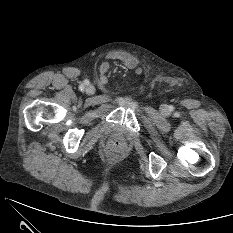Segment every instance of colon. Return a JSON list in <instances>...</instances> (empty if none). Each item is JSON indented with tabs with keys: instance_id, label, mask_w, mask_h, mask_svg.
<instances>
[{
	"instance_id": "5ec220e1",
	"label": "colon",
	"mask_w": 233,
	"mask_h": 233,
	"mask_svg": "<svg viewBox=\"0 0 233 233\" xmlns=\"http://www.w3.org/2000/svg\"><path fill=\"white\" fill-rule=\"evenodd\" d=\"M113 147L119 148L121 147V142L119 140H115L112 142Z\"/></svg>"
}]
</instances>
